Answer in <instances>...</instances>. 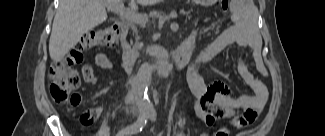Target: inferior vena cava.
<instances>
[{"instance_id": "1", "label": "inferior vena cava", "mask_w": 325, "mask_h": 136, "mask_svg": "<svg viewBox=\"0 0 325 136\" xmlns=\"http://www.w3.org/2000/svg\"><path fill=\"white\" fill-rule=\"evenodd\" d=\"M129 84L131 86L132 92L134 93V88H135V82H134V80L133 79H130L129 80Z\"/></svg>"}]
</instances>
